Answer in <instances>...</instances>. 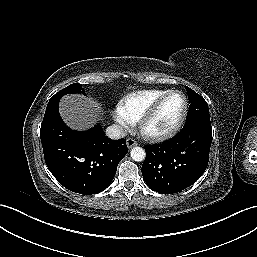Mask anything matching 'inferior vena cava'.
I'll list each match as a JSON object with an SVG mask.
<instances>
[{"label":"inferior vena cava","instance_id":"obj_1","mask_svg":"<svg viewBox=\"0 0 257 257\" xmlns=\"http://www.w3.org/2000/svg\"><path fill=\"white\" fill-rule=\"evenodd\" d=\"M106 135L110 139H120L127 135V131L123 129L120 125L114 124L106 129Z\"/></svg>","mask_w":257,"mask_h":257}]
</instances>
